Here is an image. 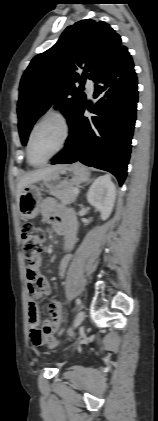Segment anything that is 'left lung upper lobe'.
<instances>
[{"label": "left lung upper lobe", "mask_w": 158, "mask_h": 421, "mask_svg": "<svg viewBox=\"0 0 158 421\" xmlns=\"http://www.w3.org/2000/svg\"><path fill=\"white\" fill-rule=\"evenodd\" d=\"M122 47L120 36L103 21L81 20L66 28L57 43L31 61L20 83L18 128L25 145L36 120L53 104L68 124L86 103L75 84L95 77ZM83 69L80 77L76 70Z\"/></svg>", "instance_id": "5c2ea615"}]
</instances>
